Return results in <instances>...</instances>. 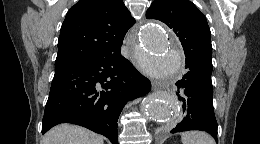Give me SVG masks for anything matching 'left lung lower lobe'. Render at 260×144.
<instances>
[{"label": "left lung lower lobe", "instance_id": "left-lung-lower-lobe-1", "mask_svg": "<svg viewBox=\"0 0 260 144\" xmlns=\"http://www.w3.org/2000/svg\"><path fill=\"white\" fill-rule=\"evenodd\" d=\"M185 68L189 71L176 82V94L183 103V114L171 133L202 130L210 133L218 142L213 108L212 69L192 61H187Z\"/></svg>", "mask_w": 260, "mask_h": 144}]
</instances>
